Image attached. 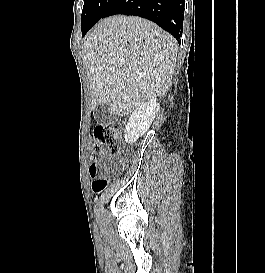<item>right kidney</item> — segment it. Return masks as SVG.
<instances>
[{
	"label": "right kidney",
	"instance_id": "1",
	"mask_svg": "<svg viewBox=\"0 0 265 273\" xmlns=\"http://www.w3.org/2000/svg\"><path fill=\"white\" fill-rule=\"evenodd\" d=\"M159 109L160 105L157 100L150 99L132 112L125 127L124 138L126 143H135L140 136L148 131Z\"/></svg>",
	"mask_w": 265,
	"mask_h": 273
}]
</instances>
